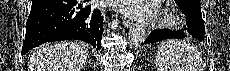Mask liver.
Here are the masks:
<instances>
[{"instance_id": "1", "label": "liver", "mask_w": 230, "mask_h": 71, "mask_svg": "<svg viewBox=\"0 0 230 71\" xmlns=\"http://www.w3.org/2000/svg\"><path fill=\"white\" fill-rule=\"evenodd\" d=\"M88 50L81 42L46 44L36 50L28 62L29 71H81Z\"/></svg>"}]
</instances>
